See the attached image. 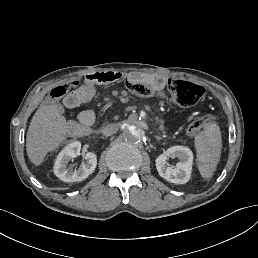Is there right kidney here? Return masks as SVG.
I'll list each match as a JSON object with an SVG mask.
<instances>
[{"instance_id":"ca27d5eb","label":"right kidney","mask_w":258,"mask_h":258,"mask_svg":"<svg viewBox=\"0 0 258 258\" xmlns=\"http://www.w3.org/2000/svg\"><path fill=\"white\" fill-rule=\"evenodd\" d=\"M81 150V142L75 140L67 144L57 155L53 165L54 174L65 182H76L86 179L96 168L97 159L94 153H87L86 163L75 170L69 169L68 163L76 158Z\"/></svg>"}]
</instances>
